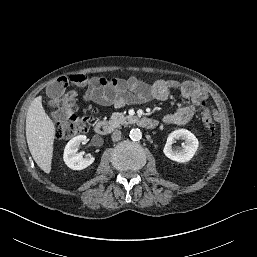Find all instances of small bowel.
Here are the masks:
<instances>
[{"label":"small bowel","instance_id":"small-bowel-1","mask_svg":"<svg viewBox=\"0 0 257 257\" xmlns=\"http://www.w3.org/2000/svg\"><path fill=\"white\" fill-rule=\"evenodd\" d=\"M173 90H176L179 97L188 100L189 103L165 115L163 122L186 124L193 118L201 101L206 98V91L193 81L157 80L149 84L137 77L119 80L97 76L90 80L83 99L101 106L121 108L127 104H139L152 99L167 100ZM48 96L51 102L56 100L49 91Z\"/></svg>","mask_w":257,"mask_h":257}]
</instances>
